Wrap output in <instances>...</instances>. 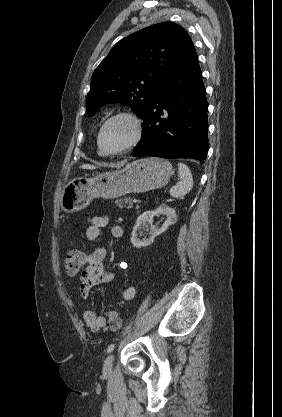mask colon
I'll list each match as a JSON object with an SVG mask.
<instances>
[{
    "label": "colon",
    "mask_w": 282,
    "mask_h": 417,
    "mask_svg": "<svg viewBox=\"0 0 282 417\" xmlns=\"http://www.w3.org/2000/svg\"><path fill=\"white\" fill-rule=\"evenodd\" d=\"M86 257L78 250L68 252L64 258V266L71 276H76L84 267ZM107 325L110 329H118L121 326V319L116 311H110L107 314Z\"/></svg>",
    "instance_id": "5ec220e1"
}]
</instances>
